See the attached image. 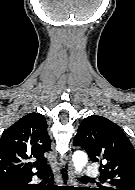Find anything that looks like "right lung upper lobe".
Wrapping results in <instances>:
<instances>
[{"label":"right lung upper lobe","instance_id":"right-lung-upper-lobe-1","mask_svg":"<svg viewBox=\"0 0 135 190\" xmlns=\"http://www.w3.org/2000/svg\"><path fill=\"white\" fill-rule=\"evenodd\" d=\"M47 123L40 113H29L10 126L0 138V181L28 178L49 170L46 152L51 151ZM35 159V162L30 160ZM32 168L37 172L33 173Z\"/></svg>","mask_w":135,"mask_h":190}]
</instances>
